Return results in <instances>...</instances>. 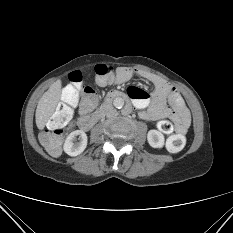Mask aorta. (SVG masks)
<instances>
[{
    "mask_svg": "<svg viewBox=\"0 0 233 233\" xmlns=\"http://www.w3.org/2000/svg\"><path fill=\"white\" fill-rule=\"evenodd\" d=\"M113 104L116 108L121 109L124 106V99L117 97L114 99Z\"/></svg>",
    "mask_w": 233,
    "mask_h": 233,
    "instance_id": "762f6f07",
    "label": "aorta"
}]
</instances>
